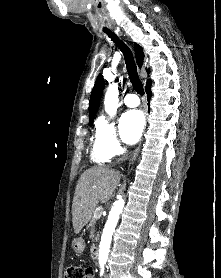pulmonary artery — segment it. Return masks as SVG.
Here are the masks:
<instances>
[{"label": "pulmonary artery", "mask_w": 221, "mask_h": 278, "mask_svg": "<svg viewBox=\"0 0 221 278\" xmlns=\"http://www.w3.org/2000/svg\"><path fill=\"white\" fill-rule=\"evenodd\" d=\"M124 104L128 107H137L140 104V100L136 94H127L124 97Z\"/></svg>", "instance_id": "obj_1"}]
</instances>
